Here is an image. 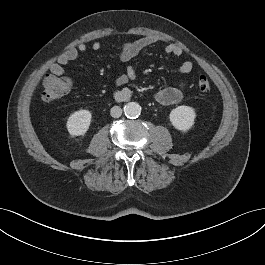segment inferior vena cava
I'll return each mask as SVG.
<instances>
[{
  "mask_svg": "<svg viewBox=\"0 0 265 265\" xmlns=\"http://www.w3.org/2000/svg\"><path fill=\"white\" fill-rule=\"evenodd\" d=\"M110 114L113 118H119L122 115V109L119 106H114L111 108Z\"/></svg>",
  "mask_w": 265,
  "mask_h": 265,
  "instance_id": "obj_1",
  "label": "inferior vena cava"
}]
</instances>
